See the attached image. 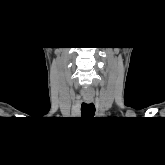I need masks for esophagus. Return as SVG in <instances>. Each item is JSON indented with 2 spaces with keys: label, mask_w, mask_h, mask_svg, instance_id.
<instances>
[{
  "label": "esophagus",
  "mask_w": 165,
  "mask_h": 165,
  "mask_svg": "<svg viewBox=\"0 0 165 165\" xmlns=\"http://www.w3.org/2000/svg\"><path fill=\"white\" fill-rule=\"evenodd\" d=\"M92 100L91 99H86L85 102L90 103Z\"/></svg>",
  "instance_id": "34e87169"
}]
</instances>
